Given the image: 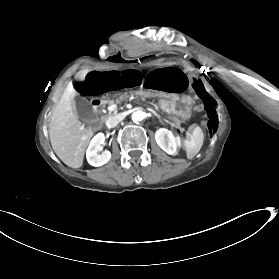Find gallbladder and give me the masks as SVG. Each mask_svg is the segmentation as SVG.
I'll return each instance as SVG.
<instances>
[{
  "mask_svg": "<svg viewBox=\"0 0 279 279\" xmlns=\"http://www.w3.org/2000/svg\"><path fill=\"white\" fill-rule=\"evenodd\" d=\"M75 101L79 119L93 129L100 128L102 125V120L100 117L95 115L92 108L89 106L88 100L78 96L76 97Z\"/></svg>",
  "mask_w": 279,
  "mask_h": 279,
  "instance_id": "gallbladder-1",
  "label": "gallbladder"
}]
</instances>
